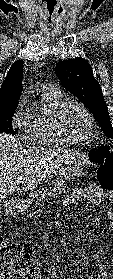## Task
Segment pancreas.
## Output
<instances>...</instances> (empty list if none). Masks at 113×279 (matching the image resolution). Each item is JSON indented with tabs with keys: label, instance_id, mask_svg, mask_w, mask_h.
<instances>
[{
	"label": "pancreas",
	"instance_id": "pancreas-1",
	"mask_svg": "<svg viewBox=\"0 0 113 279\" xmlns=\"http://www.w3.org/2000/svg\"><path fill=\"white\" fill-rule=\"evenodd\" d=\"M70 188L64 185V182L60 179H56L54 182V186L50 189H46V192L40 195V198L38 199L39 202L45 201L46 195L48 196H58L59 194H67L69 192ZM40 205L39 203H37Z\"/></svg>",
	"mask_w": 113,
	"mask_h": 279
}]
</instances>
